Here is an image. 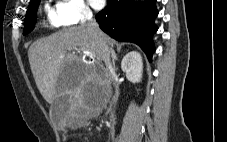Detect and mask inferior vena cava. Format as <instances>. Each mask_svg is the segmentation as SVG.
Here are the masks:
<instances>
[{"label":"inferior vena cava","instance_id":"1","mask_svg":"<svg viewBox=\"0 0 227 142\" xmlns=\"http://www.w3.org/2000/svg\"><path fill=\"white\" fill-rule=\"evenodd\" d=\"M81 26L86 28L88 32L91 34L93 39L96 41V43L99 46V49L101 51L102 59L105 62V73L104 78L106 84H109L110 82H113L114 80V67L110 60V53L112 52L107 43L105 42L102 32L99 29L98 23L93 18L92 13L90 11H85L83 15V19L81 21ZM118 100V93L116 92L115 95L112 97L111 105H116ZM110 122L113 125L114 124V112H111L110 115Z\"/></svg>","mask_w":227,"mask_h":142}]
</instances>
